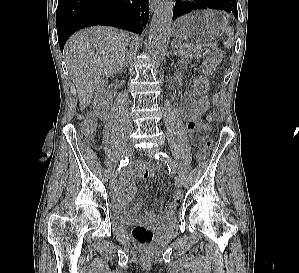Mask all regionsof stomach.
Wrapping results in <instances>:
<instances>
[{
	"label": "stomach",
	"mask_w": 299,
	"mask_h": 273,
	"mask_svg": "<svg viewBox=\"0 0 299 273\" xmlns=\"http://www.w3.org/2000/svg\"><path fill=\"white\" fill-rule=\"evenodd\" d=\"M227 19L215 10H200L179 18L174 36L186 42H206L219 37L227 29Z\"/></svg>",
	"instance_id": "1"
}]
</instances>
